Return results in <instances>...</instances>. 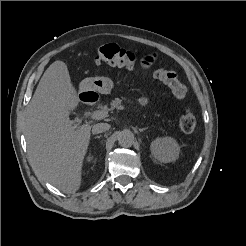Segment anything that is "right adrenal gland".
<instances>
[{
	"instance_id": "1",
	"label": "right adrenal gland",
	"mask_w": 246,
	"mask_h": 246,
	"mask_svg": "<svg viewBox=\"0 0 246 246\" xmlns=\"http://www.w3.org/2000/svg\"><path fill=\"white\" fill-rule=\"evenodd\" d=\"M100 137H101V135H99V136H95L94 138H95V139H99Z\"/></svg>"
}]
</instances>
